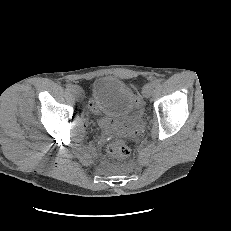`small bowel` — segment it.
Here are the masks:
<instances>
[{
	"mask_svg": "<svg viewBox=\"0 0 231 231\" xmlns=\"http://www.w3.org/2000/svg\"><path fill=\"white\" fill-rule=\"evenodd\" d=\"M92 108L95 109L93 105H92ZM100 123L105 128L106 132H110L113 129V126L111 125V123L106 119H102Z\"/></svg>",
	"mask_w": 231,
	"mask_h": 231,
	"instance_id": "small-bowel-1",
	"label": "small bowel"
}]
</instances>
